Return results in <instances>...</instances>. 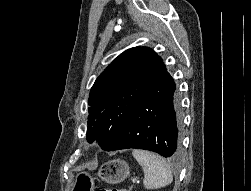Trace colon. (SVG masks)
Here are the masks:
<instances>
[{
    "label": "colon",
    "mask_w": 251,
    "mask_h": 191,
    "mask_svg": "<svg viewBox=\"0 0 251 191\" xmlns=\"http://www.w3.org/2000/svg\"><path fill=\"white\" fill-rule=\"evenodd\" d=\"M99 191H126L125 189L103 187Z\"/></svg>",
    "instance_id": "5ec220e1"
}]
</instances>
